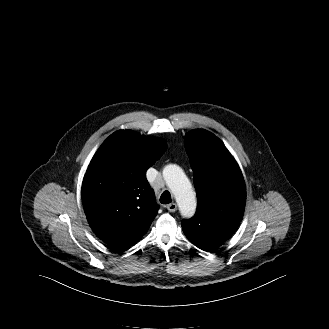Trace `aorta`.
I'll return each instance as SVG.
<instances>
[{
	"mask_svg": "<svg viewBox=\"0 0 329 329\" xmlns=\"http://www.w3.org/2000/svg\"><path fill=\"white\" fill-rule=\"evenodd\" d=\"M163 178L176 199L181 215L192 217L196 210V197L183 170L178 165L169 164L163 169Z\"/></svg>",
	"mask_w": 329,
	"mask_h": 329,
	"instance_id": "1",
	"label": "aorta"
}]
</instances>
